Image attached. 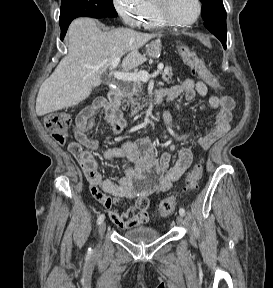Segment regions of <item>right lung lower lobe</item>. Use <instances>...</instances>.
<instances>
[{"instance_id":"98d812e1","label":"right lung lower lobe","mask_w":273,"mask_h":288,"mask_svg":"<svg viewBox=\"0 0 273 288\" xmlns=\"http://www.w3.org/2000/svg\"><path fill=\"white\" fill-rule=\"evenodd\" d=\"M70 23H71V22H68V23L60 26V28H61V37H60L61 40H63V38H64V36H65V34H66V32H67V29H68V26H69Z\"/></svg>"}]
</instances>
